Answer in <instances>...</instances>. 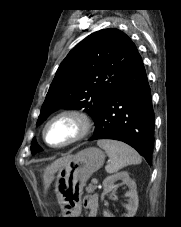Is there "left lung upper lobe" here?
Listing matches in <instances>:
<instances>
[{
	"instance_id": "left-lung-upper-lobe-1",
	"label": "left lung upper lobe",
	"mask_w": 181,
	"mask_h": 227,
	"mask_svg": "<svg viewBox=\"0 0 181 227\" xmlns=\"http://www.w3.org/2000/svg\"><path fill=\"white\" fill-rule=\"evenodd\" d=\"M138 51L118 29H103L78 43L60 64L42 105L37 125L57 109H82L95 123ZM33 138L31 152L41 151Z\"/></svg>"
}]
</instances>
